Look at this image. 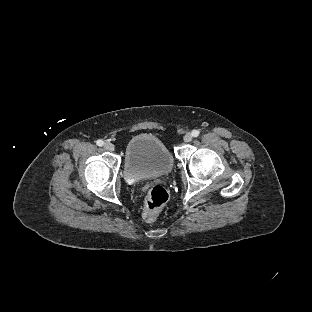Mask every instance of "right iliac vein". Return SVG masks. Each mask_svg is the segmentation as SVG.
<instances>
[{"label":"right iliac vein","instance_id":"1","mask_svg":"<svg viewBox=\"0 0 312 312\" xmlns=\"http://www.w3.org/2000/svg\"><path fill=\"white\" fill-rule=\"evenodd\" d=\"M104 148L108 151H114L115 147L111 142H105L104 143Z\"/></svg>","mask_w":312,"mask_h":312}]
</instances>
